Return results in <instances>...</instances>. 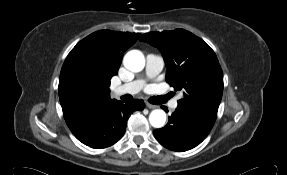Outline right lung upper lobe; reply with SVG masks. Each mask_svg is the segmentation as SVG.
Instances as JSON below:
<instances>
[{
  "mask_svg": "<svg viewBox=\"0 0 287 175\" xmlns=\"http://www.w3.org/2000/svg\"><path fill=\"white\" fill-rule=\"evenodd\" d=\"M140 34L100 30L81 40L68 54L59 78V99L66 124L87 117L109 101L110 79L117 74L123 53ZM84 85L89 97L76 99V90ZM114 100V99H113Z\"/></svg>",
  "mask_w": 287,
  "mask_h": 175,
  "instance_id": "1",
  "label": "right lung upper lobe"
}]
</instances>
